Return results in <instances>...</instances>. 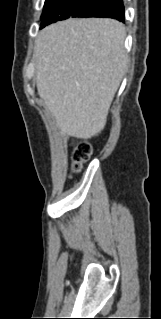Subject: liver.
<instances>
[{
  "label": "liver",
  "mask_w": 161,
  "mask_h": 319,
  "mask_svg": "<svg viewBox=\"0 0 161 319\" xmlns=\"http://www.w3.org/2000/svg\"><path fill=\"white\" fill-rule=\"evenodd\" d=\"M124 26L114 19H68L38 35V94L61 132L89 139L105 127L127 68Z\"/></svg>",
  "instance_id": "liver-1"
}]
</instances>
